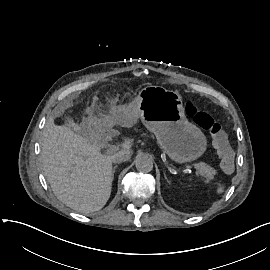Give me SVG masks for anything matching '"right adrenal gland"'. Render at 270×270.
Returning <instances> with one entry per match:
<instances>
[{
	"label": "right adrenal gland",
	"mask_w": 270,
	"mask_h": 270,
	"mask_svg": "<svg viewBox=\"0 0 270 270\" xmlns=\"http://www.w3.org/2000/svg\"><path fill=\"white\" fill-rule=\"evenodd\" d=\"M117 168V165L113 166V170H112V173H113V177H114V173H115V169Z\"/></svg>",
	"instance_id": "right-adrenal-gland-1"
}]
</instances>
